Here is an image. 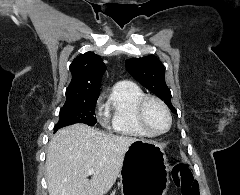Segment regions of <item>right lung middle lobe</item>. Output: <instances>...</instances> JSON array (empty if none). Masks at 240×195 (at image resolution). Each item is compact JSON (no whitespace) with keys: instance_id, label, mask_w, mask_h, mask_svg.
<instances>
[{"instance_id":"right-lung-middle-lobe-1","label":"right lung middle lobe","mask_w":240,"mask_h":195,"mask_svg":"<svg viewBox=\"0 0 240 195\" xmlns=\"http://www.w3.org/2000/svg\"><path fill=\"white\" fill-rule=\"evenodd\" d=\"M98 97H82L66 99V103L60 110L59 122L55 125L57 129L75 123H84L90 126L96 124L95 105Z\"/></svg>"}]
</instances>
